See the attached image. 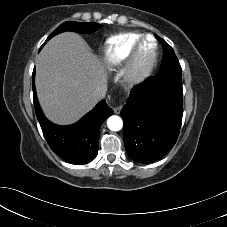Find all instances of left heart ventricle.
<instances>
[{"instance_id": "obj_1", "label": "left heart ventricle", "mask_w": 227, "mask_h": 227, "mask_svg": "<svg viewBox=\"0 0 227 227\" xmlns=\"http://www.w3.org/2000/svg\"><path fill=\"white\" fill-rule=\"evenodd\" d=\"M152 51H153V42L151 40H148L142 47L140 57H139L140 64H145L149 60L152 54Z\"/></svg>"}]
</instances>
